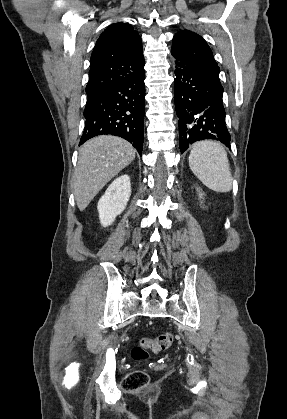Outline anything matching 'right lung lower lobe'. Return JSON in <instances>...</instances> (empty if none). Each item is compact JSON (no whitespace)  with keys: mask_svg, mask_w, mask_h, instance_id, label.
<instances>
[{"mask_svg":"<svg viewBox=\"0 0 287 419\" xmlns=\"http://www.w3.org/2000/svg\"><path fill=\"white\" fill-rule=\"evenodd\" d=\"M145 72L119 81L88 97L80 144L103 134L129 141L142 155L144 138Z\"/></svg>","mask_w":287,"mask_h":419,"instance_id":"1","label":"right lung lower lobe"}]
</instances>
